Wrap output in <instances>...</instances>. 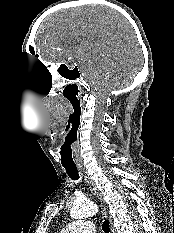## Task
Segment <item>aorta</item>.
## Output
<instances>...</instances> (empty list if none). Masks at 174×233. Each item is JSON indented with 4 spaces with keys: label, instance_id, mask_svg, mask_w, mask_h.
I'll use <instances>...</instances> for the list:
<instances>
[{
    "label": "aorta",
    "instance_id": "1",
    "mask_svg": "<svg viewBox=\"0 0 174 233\" xmlns=\"http://www.w3.org/2000/svg\"><path fill=\"white\" fill-rule=\"evenodd\" d=\"M98 212V207L91 202H75L71 208L70 216L73 219L89 217Z\"/></svg>",
    "mask_w": 174,
    "mask_h": 233
}]
</instances>
